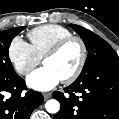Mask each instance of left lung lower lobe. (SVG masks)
<instances>
[{"label":"left lung lower lobe","mask_w":119,"mask_h":119,"mask_svg":"<svg viewBox=\"0 0 119 119\" xmlns=\"http://www.w3.org/2000/svg\"><path fill=\"white\" fill-rule=\"evenodd\" d=\"M64 91L52 94L61 104L54 119H119V64L76 79Z\"/></svg>","instance_id":"obj_1"}]
</instances>
